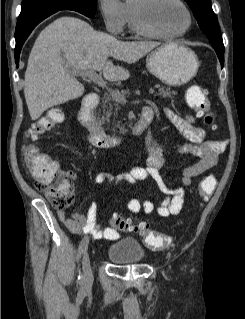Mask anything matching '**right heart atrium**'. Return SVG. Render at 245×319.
Segmentation results:
<instances>
[{"instance_id":"1","label":"right heart atrium","mask_w":245,"mask_h":319,"mask_svg":"<svg viewBox=\"0 0 245 319\" xmlns=\"http://www.w3.org/2000/svg\"><path fill=\"white\" fill-rule=\"evenodd\" d=\"M98 5L106 30L113 35L122 34L126 26L124 3L121 0H98Z\"/></svg>"}]
</instances>
